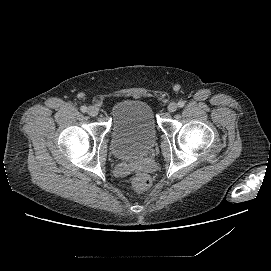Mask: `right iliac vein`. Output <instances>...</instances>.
<instances>
[{
  "mask_svg": "<svg viewBox=\"0 0 271 271\" xmlns=\"http://www.w3.org/2000/svg\"><path fill=\"white\" fill-rule=\"evenodd\" d=\"M87 113H88L91 117H95V116L98 115V109H97L96 107H94V106H90V107L88 108Z\"/></svg>",
  "mask_w": 271,
  "mask_h": 271,
  "instance_id": "63e3f726",
  "label": "right iliac vein"
}]
</instances>
